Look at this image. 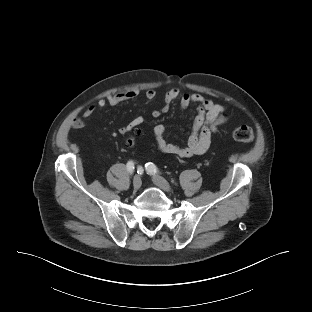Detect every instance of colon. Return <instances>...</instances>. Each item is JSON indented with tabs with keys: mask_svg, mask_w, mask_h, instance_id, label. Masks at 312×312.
I'll return each instance as SVG.
<instances>
[{
	"mask_svg": "<svg viewBox=\"0 0 312 312\" xmlns=\"http://www.w3.org/2000/svg\"><path fill=\"white\" fill-rule=\"evenodd\" d=\"M81 121L79 119H75L73 121V126L74 127H80L81 126ZM233 137L235 140L237 141H241V142H251L254 140L255 138V134L254 131L251 127L246 126V125H241L236 127L233 130ZM126 143L128 146H133L135 143V137L134 136H130L127 138Z\"/></svg>",
	"mask_w": 312,
	"mask_h": 312,
	"instance_id": "obj_1",
	"label": "colon"
}]
</instances>
